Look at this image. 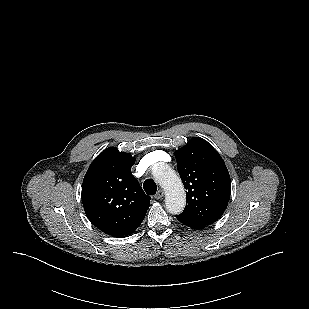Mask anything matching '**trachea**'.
<instances>
[{
  "label": "trachea",
  "mask_w": 309,
  "mask_h": 309,
  "mask_svg": "<svg viewBox=\"0 0 309 309\" xmlns=\"http://www.w3.org/2000/svg\"><path fill=\"white\" fill-rule=\"evenodd\" d=\"M143 188L148 195H154L157 191V186L152 179L145 180Z\"/></svg>",
  "instance_id": "1"
}]
</instances>
